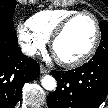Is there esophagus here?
Segmentation results:
<instances>
[{
	"label": "esophagus",
	"mask_w": 108,
	"mask_h": 108,
	"mask_svg": "<svg viewBox=\"0 0 108 108\" xmlns=\"http://www.w3.org/2000/svg\"><path fill=\"white\" fill-rule=\"evenodd\" d=\"M40 72L42 74H46V73H49L50 72V69L49 68H46L44 65H40Z\"/></svg>",
	"instance_id": "1"
}]
</instances>
